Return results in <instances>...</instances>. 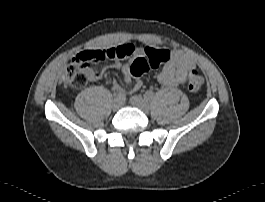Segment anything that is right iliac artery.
<instances>
[{
    "label": "right iliac artery",
    "mask_w": 265,
    "mask_h": 202,
    "mask_svg": "<svg viewBox=\"0 0 265 202\" xmlns=\"http://www.w3.org/2000/svg\"><path fill=\"white\" fill-rule=\"evenodd\" d=\"M114 97L122 100L123 94L121 92L114 93Z\"/></svg>",
    "instance_id": "1"
}]
</instances>
